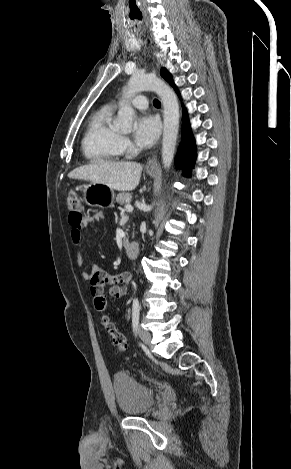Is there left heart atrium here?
I'll list each match as a JSON object with an SVG mask.
<instances>
[{
  "label": "left heart atrium",
  "mask_w": 291,
  "mask_h": 469,
  "mask_svg": "<svg viewBox=\"0 0 291 469\" xmlns=\"http://www.w3.org/2000/svg\"><path fill=\"white\" fill-rule=\"evenodd\" d=\"M160 134V122L151 114H144L137 119L134 136L142 147H149L155 143Z\"/></svg>",
  "instance_id": "obj_1"
}]
</instances>
